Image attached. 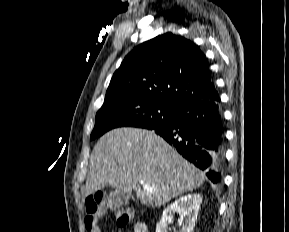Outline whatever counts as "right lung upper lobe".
Wrapping results in <instances>:
<instances>
[{"label":"right lung upper lobe","mask_w":289,"mask_h":232,"mask_svg":"<svg viewBox=\"0 0 289 232\" xmlns=\"http://www.w3.org/2000/svg\"><path fill=\"white\" fill-rule=\"evenodd\" d=\"M128 96L178 108L219 95L201 50L190 40L166 33L135 47L114 73L105 99Z\"/></svg>","instance_id":"obj_1"}]
</instances>
